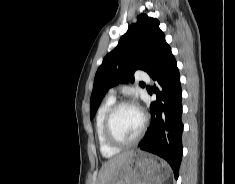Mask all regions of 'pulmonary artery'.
Listing matches in <instances>:
<instances>
[{
	"instance_id": "pulmonary-artery-1",
	"label": "pulmonary artery",
	"mask_w": 235,
	"mask_h": 184,
	"mask_svg": "<svg viewBox=\"0 0 235 184\" xmlns=\"http://www.w3.org/2000/svg\"><path fill=\"white\" fill-rule=\"evenodd\" d=\"M135 73H138V70H135ZM137 77H141V78H143V79H145V80H148V79H149L148 75H147L146 73H144V72L141 73L140 76H137ZM108 95H109V97H114V95H115V89H114V88L109 89Z\"/></svg>"
}]
</instances>
